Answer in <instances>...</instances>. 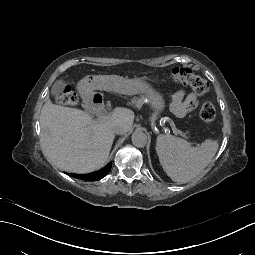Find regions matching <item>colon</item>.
Masks as SVG:
<instances>
[{"label":"colon","instance_id":"obj_1","mask_svg":"<svg viewBox=\"0 0 255 255\" xmlns=\"http://www.w3.org/2000/svg\"><path fill=\"white\" fill-rule=\"evenodd\" d=\"M171 76L175 82L189 86L198 95H203L209 90L208 82L188 68H175L172 70ZM56 101L62 105L75 106L78 103V98L69 87H65L58 93ZM199 116L205 123L213 122L216 117L213 103L210 101L204 102Z\"/></svg>","mask_w":255,"mask_h":255}]
</instances>
